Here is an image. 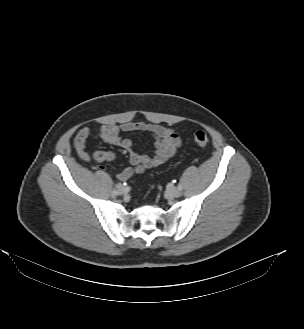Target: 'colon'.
Masks as SVG:
<instances>
[{"instance_id":"1","label":"colon","mask_w":304,"mask_h":329,"mask_svg":"<svg viewBox=\"0 0 304 329\" xmlns=\"http://www.w3.org/2000/svg\"><path fill=\"white\" fill-rule=\"evenodd\" d=\"M208 136L204 131H197L194 135V142L201 147H204L208 144Z\"/></svg>"}]
</instances>
